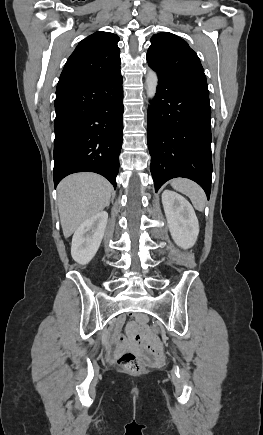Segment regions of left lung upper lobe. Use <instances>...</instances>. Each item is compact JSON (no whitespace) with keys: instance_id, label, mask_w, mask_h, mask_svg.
<instances>
[{"instance_id":"1","label":"left lung upper lobe","mask_w":263,"mask_h":435,"mask_svg":"<svg viewBox=\"0 0 263 435\" xmlns=\"http://www.w3.org/2000/svg\"><path fill=\"white\" fill-rule=\"evenodd\" d=\"M151 43L147 61L158 74L207 88L200 60L183 39L163 32L153 35Z\"/></svg>"}]
</instances>
